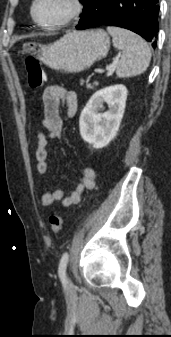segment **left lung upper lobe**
I'll return each mask as SVG.
<instances>
[{
  "label": "left lung upper lobe",
  "mask_w": 171,
  "mask_h": 337,
  "mask_svg": "<svg viewBox=\"0 0 171 337\" xmlns=\"http://www.w3.org/2000/svg\"><path fill=\"white\" fill-rule=\"evenodd\" d=\"M82 3H83V5H84V9H83V12L85 11V9H86V7H87V5H88V2L90 1V0H80Z\"/></svg>",
  "instance_id": "5c2ea615"
}]
</instances>
